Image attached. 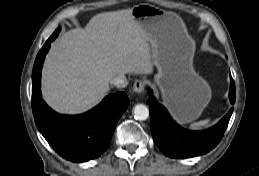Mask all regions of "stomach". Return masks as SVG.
<instances>
[{
    "label": "stomach",
    "instance_id": "0dacf381",
    "mask_svg": "<svg viewBox=\"0 0 259 176\" xmlns=\"http://www.w3.org/2000/svg\"><path fill=\"white\" fill-rule=\"evenodd\" d=\"M132 16L151 44L163 103L180 123L197 119L211 99V89L194 71L195 44L181 19L150 4L134 6Z\"/></svg>",
    "mask_w": 259,
    "mask_h": 176
}]
</instances>
